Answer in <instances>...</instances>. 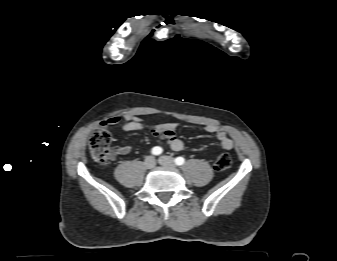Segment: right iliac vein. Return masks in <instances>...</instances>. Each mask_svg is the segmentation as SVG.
I'll list each match as a JSON object with an SVG mask.
<instances>
[{"instance_id": "63e3f726", "label": "right iliac vein", "mask_w": 337, "mask_h": 261, "mask_svg": "<svg viewBox=\"0 0 337 261\" xmlns=\"http://www.w3.org/2000/svg\"><path fill=\"white\" fill-rule=\"evenodd\" d=\"M144 165L146 168L148 169H152L155 167L156 165V160L153 156H148L146 157L145 161H144Z\"/></svg>"}]
</instances>
